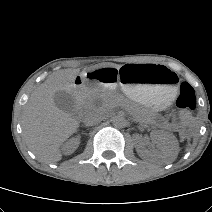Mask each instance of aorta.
Segmentation results:
<instances>
[{
    "instance_id": "aorta-1",
    "label": "aorta",
    "mask_w": 212,
    "mask_h": 212,
    "mask_svg": "<svg viewBox=\"0 0 212 212\" xmlns=\"http://www.w3.org/2000/svg\"><path fill=\"white\" fill-rule=\"evenodd\" d=\"M112 124L116 128H124L127 124V121L124 116L117 115L112 118Z\"/></svg>"
}]
</instances>
